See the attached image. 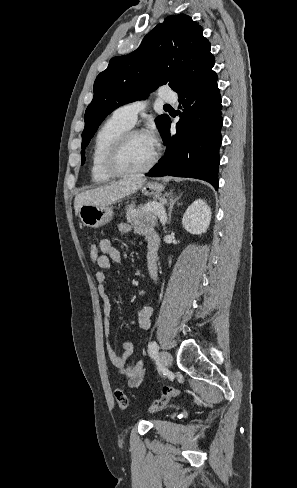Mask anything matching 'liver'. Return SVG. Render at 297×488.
<instances>
[{
    "instance_id": "6515ba94",
    "label": "liver",
    "mask_w": 297,
    "mask_h": 488,
    "mask_svg": "<svg viewBox=\"0 0 297 488\" xmlns=\"http://www.w3.org/2000/svg\"><path fill=\"white\" fill-rule=\"evenodd\" d=\"M145 183V178L131 176L106 186L84 191L75 197V211L78 212L84 204L101 206L114 204L118 200L142 188Z\"/></svg>"
}]
</instances>
